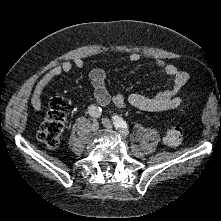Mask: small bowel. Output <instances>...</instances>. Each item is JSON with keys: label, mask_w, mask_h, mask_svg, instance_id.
<instances>
[{"label": "small bowel", "mask_w": 221, "mask_h": 221, "mask_svg": "<svg viewBox=\"0 0 221 221\" xmlns=\"http://www.w3.org/2000/svg\"><path fill=\"white\" fill-rule=\"evenodd\" d=\"M138 53L129 55L131 62H138L140 60ZM158 67L162 72L172 80L171 87L164 91L157 93L154 96L148 97L138 93H131L125 96L117 93L110 96L105 86L106 74L101 68H94L89 73V79L93 87L94 97L99 106L105 107L109 103H113L117 108H125L126 102L131 106L144 111H164L177 109L182 104L180 91L187 84L189 75L185 71L179 70L176 66L166 63L163 60H157ZM82 68L84 60L82 58H75L73 61H64L46 72L37 82L33 91V104L36 109H40L41 96L49 83L60 76L62 73L70 72L73 67Z\"/></svg>", "instance_id": "small-bowel-1"}]
</instances>
